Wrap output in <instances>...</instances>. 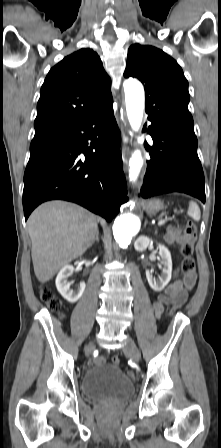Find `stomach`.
Instances as JSON below:
<instances>
[{
    "label": "stomach",
    "mask_w": 221,
    "mask_h": 448,
    "mask_svg": "<svg viewBox=\"0 0 221 448\" xmlns=\"http://www.w3.org/2000/svg\"><path fill=\"white\" fill-rule=\"evenodd\" d=\"M164 209V204L159 199H152L145 205V210L152 215Z\"/></svg>",
    "instance_id": "0dacf381"
}]
</instances>
